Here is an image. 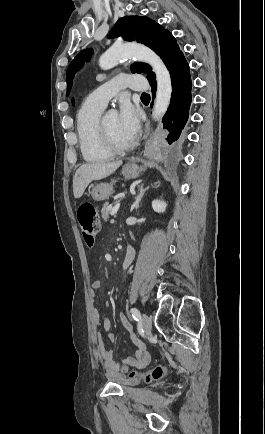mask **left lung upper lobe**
<instances>
[{
	"label": "left lung upper lobe",
	"mask_w": 265,
	"mask_h": 434,
	"mask_svg": "<svg viewBox=\"0 0 265 434\" xmlns=\"http://www.w3.org/2000/svg\"><path fill=\"white\" fill-rule=\"evenodd\" d=\"M122 36L127 41H137L150 47L164 61L170 70L176 58L183 54L179 49L176 39L173 35L160 24L148 17L126 16L118 20L110 31V38ZM91 50L81 51L71 62L67 69V95L72 87L74 73L81 68L85 59L90 58ZM132 73H147V79L151 86L156 85L155 74L151 71L149 65L144 63H134L131 66Z\"/></svg>",
	"instance_id": "5c2ea615"
}]
</instances>
